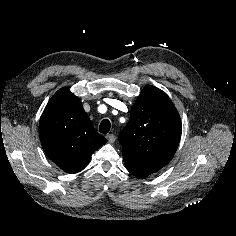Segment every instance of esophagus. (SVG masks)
<instances>
[{"label":"esophagus","mask_w":236,"mask_h":236,"mask_svg":"<svg viewBox=\"0 0 236 236\" xmlns=\"http://www.w3.org/2000/svg\"><path fill=\"white\" fill-rule=\"evenodd\" d=\"M106 137L109 143H114L116 140V137L114 134H108Z\"/></svg>","instance_id":"1"}]
</instances>
